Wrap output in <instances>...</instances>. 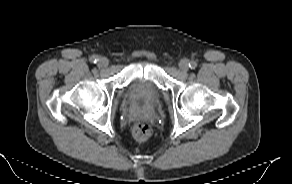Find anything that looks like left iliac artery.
Here are the masks:
<instances>
[{
  "label": "left iliac artery",
  "instance_id": "obj_1",
  "mask_svg": "<svg viewBox=\"0 0 292 184\" xmlns=\"http://www.w3.org/2000/svg\"><path fill=\"white\" fill-rule=\"evenodd\" d=\"M189 67H190L191 69H195V68L197 67V63H196L195 61H191V62L189 63Z\"/></svg>",
  "mask_w": 292,
  "mask_h": 184
}]
</instances>
